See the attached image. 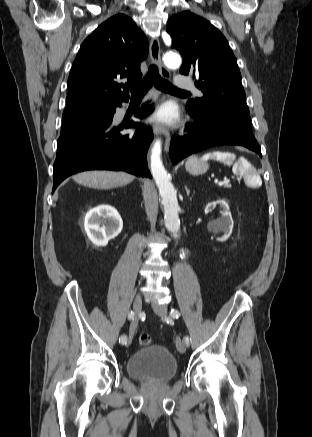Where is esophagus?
<instances>
[{
    "label": "esophagus",
    "instance_id": "34e87169",
    "mask_svg": "<svg viewBox=\"0 0 312 437\" xmlns=\"http://www.w3.org/2000/svg\"><path fill=\"white\" fill-rule=\"evenodd\" d=\"M160 44L157 38H152L150 41V58L152 62L159 68L160 74L163 77L170 78V72L163 66L160 57ZM153 131L156 135L162 134L165 137V151H169L171 136L168 128L161 124L156 123L153 126Z\"/></svg>",
    "mask_w": 312,
    "mask_h": 437
}]
</instances>
